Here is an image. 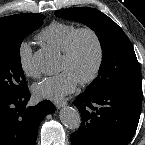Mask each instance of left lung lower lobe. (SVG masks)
<instances>
[{"label":"left lung lower lobe","instance_id":"1","mask_svg":"<svg viewBox=\"0 0 145 145\" xmlns=\"http://www.w3.org/2000/svg\"><path fill=\"white\" fill-rule=\"evenodd\" d=\"M142 97V85L78 95L73 104L82 123L71 134L72 145H128L138 126Z\"/></svg>","mask_w":145,"mask_h":145}]
</instances>
